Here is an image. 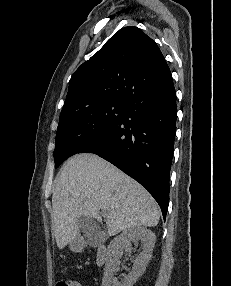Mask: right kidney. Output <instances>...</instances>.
Instances as JSON below:
<instances>
[{
    "mask_svg": "<svg viewBox=\"0 0 231 286\" xmlns=\"http://www.w3.org/2000/svg\"><path fill=\"white\" fill-rule=\"evenodd\" d=\"M139 240L144 244L143 251L134 259L131 272L119 282L114 275L120 269V259L124 251L130 253L131 242ZM155 241V233L145 227L130 228L115 237L109 246L102 286H133L146 269Z\"/></svg>",
    "mask_w": 231,
    "mask_h": 286,
    "instance_id": "right-kidney-1",
    "label": "right kidney"
}]
</instances>
